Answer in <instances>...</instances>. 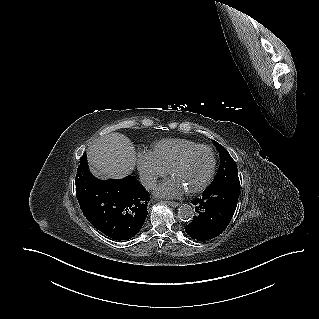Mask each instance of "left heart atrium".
Instances as JSON below:
<instances>
[{
    "label": "left heart atrium",
    "instance_id": "39dd6f15",
    "mask_svg": "<svg viewBox=\"0 0 319 319\" xmlns=\"http://www.w3.org/2000/svg\"><path fill=\"white\" fill-rule=\"evenodd\" d=\"M185 189L173 178L161 184L155 190V193L162 197H176L184 193Z\"/></svg>",
    "mask_w": 319,
    "mask_h": 319
}]
</instances>
